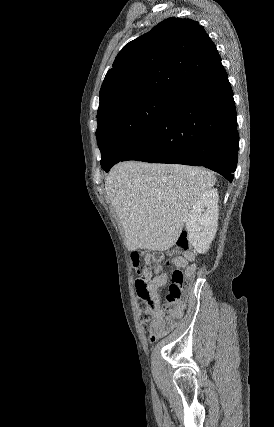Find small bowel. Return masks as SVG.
Instances as JSON below:
<instances>
[{
  "mask_svg": "<svg viewBox=\"0 0 274 427\" xmlns=\"http://www.w3.org/2000/svg\"><path fill=\"white\" fill-rule=\"evenodd\" d=\"M170 255V253H168ZM195 254L191 251L176 253L170 257V262L176 267L184 269L187 275L194 276L196 266L194 264ZM161 266L155 268H146L140 274L146 283L150 298L154 301L156 309L153 312L152 320L149 326V335L151 341H156L175 326V323L183 315L184 304L181 301L174 302L168 309H163L159 303L158 289L163 286L168 279L167 274H159Z\"/></svg>",
  "mask_w": 274,
  "mask_h": 427,
  "instance_id": "obj_1",
  "label": "small bowel"
}]
</instances>
